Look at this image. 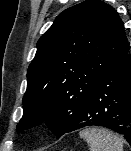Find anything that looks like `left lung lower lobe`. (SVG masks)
<instances>
[{
  "mask_svg": "<svg viewBox=\"0 0 131 151\" xmlns=\"http://www.w3.org/2000/svg\"><path fill=\"white\" fill-rule=\"evenodd\" d=\"M88 126L111 129L124 135L131 145V55L129 52L107 67L100 75L66 133Z\"/></svg>",
  "mask_w": 131,
  "mask_h": 151,
  "instance_id": "0a47b994",
  "label": "left lung lower lobe"
}]
</instances>
